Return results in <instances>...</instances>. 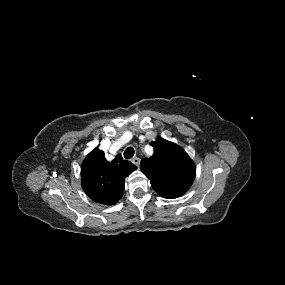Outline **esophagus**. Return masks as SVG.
I'll return each instance as SVG.
<instances>
[{
	"label": "esophagus",
	"instance_id": "esophagus-1",
	"mask_svg": "<svg viewBox=\"0 0 285 285\" xmlns=\"http://www.w3.org/2000/svg\"><path fill=\"white\" fill-rule=\"evenodd\" d=\"M132 162H133L136 166L139 167V165H140V159H139L138 157L133 158V159H132Z\"/></svg>",
	"mask_w": 285,
	"mask_h": 285
}]
</instances>
